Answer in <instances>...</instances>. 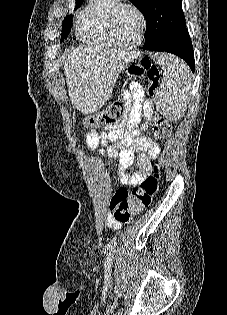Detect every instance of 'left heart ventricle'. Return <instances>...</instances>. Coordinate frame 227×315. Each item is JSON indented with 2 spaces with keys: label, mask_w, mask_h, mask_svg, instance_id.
<instances>
[{
  "label": "left heart ventricle",
  "mask_w": 227,
  "mask_h": 315,
  "mask_svg": "<svg viewBox=\"0 0 227 315\" xmlns=\"http://www.w3.org/2000/svg\"><path fill=\"white\" fill-rule=\"evenodd\" d=\"M114 32L121 44H134L140 34V19L136 12L129 8L123 9L115 22Z\"/></svg>",
  "instance_id": "1"
}]
</instances>
